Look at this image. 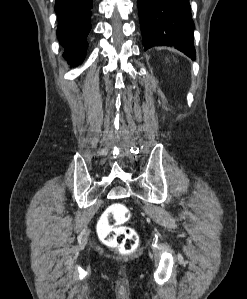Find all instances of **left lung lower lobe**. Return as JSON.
Returning <instances> with one entry per match:
<instances>
[{"label": "left lung lower lobe", "mask_w": 247, "mask_h": 299, "mask_svg": "<svg viewBox=\"0 0 247 299\" xmlns=\"http://www.w3.org/2000/svg\"><path fill=\"white\" fill-rule=\"evenodd\" d=\"M138 10L144 50L170 46L195 59L189 0H138Z\"/></svg>", "instance_id": "obj_1"}]
</instances>
